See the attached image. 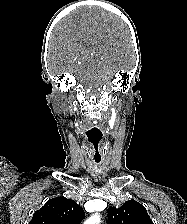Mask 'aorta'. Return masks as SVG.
I'll return each mask as SVG.
<instances>
[{"mask_svg":"<svg viewBox=\"0 0 187 224\" xmlns=\"http://www.w3.org/2000/svg\"><path fill=\"white\" fill-rule=\"evenodd\" d=\"M101 221V217L100 214L95 213L92 216H90L85 222L84 224H100Z\"/></svg>","mask_w":187,"mask_h":224,"instance_id":"aorta-1","label":"aorta"}]
</instances>
